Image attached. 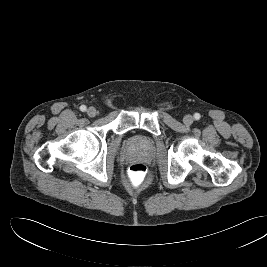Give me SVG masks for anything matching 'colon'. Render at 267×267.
I'll list each match as a JSON object with an SVG mask.
<instances>
[{"label": "colon", "mask_w": 267, "mask_h": 267, "mask_svg": "<svg viewBox=\"0 0 267 267\" xmlns=\"http://www.w3.org/2000/svg\"><path fill=\"white\" fill-rule=\"evenodd\" d=\"M148 170L143 163H133L128 169V179L135 186H141L147 178Z\"/></svg>", "instance_id": "colon-1"}]
</instances>
